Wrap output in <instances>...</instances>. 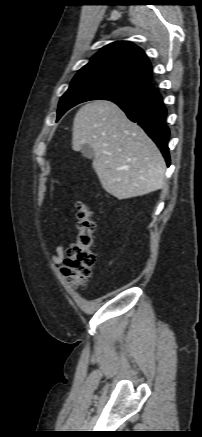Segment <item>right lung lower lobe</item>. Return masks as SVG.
<instances>
[{"label":"right lung lower lobe","mask_w":202,"mask_h":437,"mask_svg":"<svg viewBox=\"0 0 202 437\" xmlns=\"http://www.w3.org/2000/svg\"><path fill=\"white\" fill-rule=\"evenodd\" d=\"M116 103L133 122H137L160 148L167 165H170L168 140L170 131L166 125L167 110L157 88L135 96L116 99Z\"/></svg>","instance_id":"1"}]
</instances>
